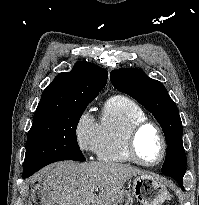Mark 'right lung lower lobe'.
<instances>
[{"mask_svg":"<svg viewBox=\"0 0 199 205\" xmlns=\"http://www.w3.org/2000/svg\"><path fill=\"white\" fill-rule=\"evenodd\" d=\"M31 176V175H30ZM23 178H27V177H29L28 175H25V176H22Z\"/></svg>","mask_w":199,"mask_h":205,"instance_id":"1","label":"right lung lower lobe"}]
</instances>
